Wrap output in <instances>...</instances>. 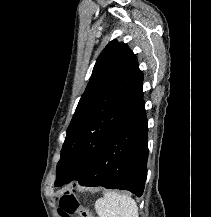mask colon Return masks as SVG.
I'll list each match as a JSON object with an SVG mask.
<instances>
[{
    "label": "colon",
    "mask_w": 211,
    "mask_h": 217,
    "mask_svg": "<svg viewBox=\"0 0 211 217\" xmlns=\"http://www.w3.org/2000/svg\"><path fill=\"white\" fill-rule=\"evenodd\" d=\"M59 210L60 213L65 217L76 213H78L81 217H95L89 211L81 207L74 193L72 192H65L59 198Z\"/></svg>",
    "instance_id": "1"
}]
</instances>
